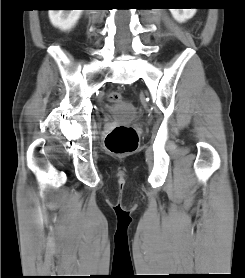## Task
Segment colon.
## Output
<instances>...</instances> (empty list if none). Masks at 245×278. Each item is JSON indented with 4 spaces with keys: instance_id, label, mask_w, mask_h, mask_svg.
Here are the masks:
<instances>
[{
    "instance_id": "colon-1",
    "label": "colon",
    "mask_w": 245,
    "mask_h": 278,
    "mask_svg": "<svg viewBox=\"0 0 245 278\" xmlns=\"http://www.w3.org/2000/svg\"><path fill=\"white\" fill-rule=\"evenodd\" d=\"M112 102H120L122 97L118 93H111L108 96ZM106 149L114 155L131 154L138 148V135L136 130L127 125L114 127L105 139Z\"/></svg>"
}]
</instances>
